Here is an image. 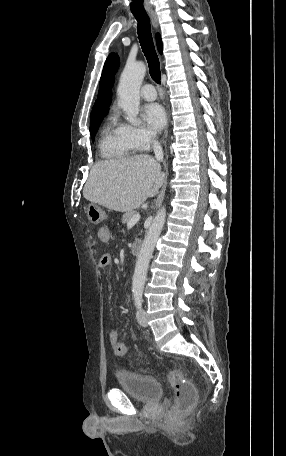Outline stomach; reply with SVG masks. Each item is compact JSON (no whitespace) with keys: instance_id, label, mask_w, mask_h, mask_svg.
I'll return each mask as SVG.
<instances>
[{"instance_id":"0dacf381","label":"stomach","mask_w":286,"mask_h":456,"mask_svg":"<svg viewBox=\"0 0 286 456\" xmlns=\"http://www.w3.org/2000/svg\"><path fill=\"white\" fill-rule=\"evenodd\" d=\"M87 217L91 223L98 224L106 218V213L97 204H90L87 208Z\"/></svg>"}]
</instances>
